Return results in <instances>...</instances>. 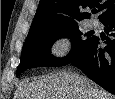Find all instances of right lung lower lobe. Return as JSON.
<instances>
[{
    "instance_id": "right-lung-lower-lobe-1",
    "label": "right lung lower lobe",
    "mask_w": 115,
    "mask_h": 99,
    "mask_svg": "<svg viewBox=\"0 0 115 99\" xmlns=\"http://www.w3.org/2000/svg\"><path fill=\"white\" fill-rule=\"evenodd\" d=\"M105 25V48H100L101 39L93 36L72 65L80 68L91 80L115 95V11L100 19ZM103 40V39H102Z\"/></svg>"
}]
</instances>
